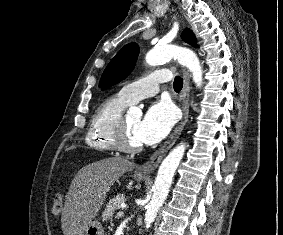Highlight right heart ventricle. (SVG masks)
Instances as JSON below:
<instances>
[{
  "instance_id": "obj_1",
  "label": "right heart ventricle",
  "mask_w": 283,
  "mask_h": 235,
  "mask_svg": "<svg viewBox=\"0 0 283 235\" xmlns=\"http://www.w3.org/2000/svg\"><path fill=\"white\" fill-rule=\"evenodd\" d=\"M120 93L104 100L94 111L86 133L88 148L101 152L117 151L113 131L122 117L124 109L129 106Z\"/></svg>"
}]
</instances>
